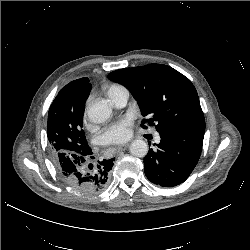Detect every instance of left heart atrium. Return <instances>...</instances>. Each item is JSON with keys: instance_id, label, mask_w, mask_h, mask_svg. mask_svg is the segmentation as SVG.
I'll list each match as a JSON object with an SVG mask.
<instances>
[{"instance_id": "left-heart-atrium-1", "label": "left heart atrium", "mask_w": 250, "mask_h": 250, "mask_svg": "<svg viewBox=\"0 0 250 250\" xmlns=\"http://www.w3.org/2000/svg\"><path fill=\"white\" fill-rule=\"evenodd\" d=\"M133 119L129 116L107 126L99 139L104 145L120 144L127 141L132 134Z\"/></svg>"}]
</instances>
